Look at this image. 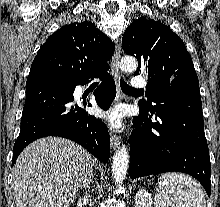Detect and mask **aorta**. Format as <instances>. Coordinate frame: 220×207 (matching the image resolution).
Segmentation results:
<instances>
[{"mask_svg": "<svg viewBox=\"0 0 220 207\" xmlns=\"http://www.w3.org/2000/svg\"><path fill=\"white\" fill-rule=\"evenodd\" d=\"M120 69L123 72H133L137 69V61L132 56H125L120 61ZM129 165V153L123 145L114 155L112 162V174L114 182L120 184L126 177Z\"/></svg>", "mask_w": 220, "mask_h": 207, "instance_id": "762f6f07", "label": "aorta"}]
</instances>
